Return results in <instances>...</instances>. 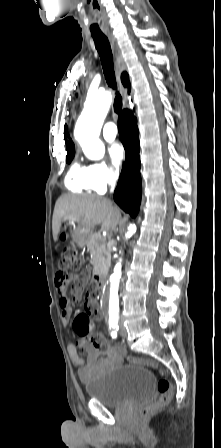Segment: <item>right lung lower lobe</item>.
<instances>
[{
  "instance_id": "right-lung-lower-lobe-1",
  "label": "right lung lower lobe",
  "mask_w": 221,
  "mask_h": 448,
  "mask_svg": "<svg viewBox=\"0 0 221 448\" xmlns=\"http://www.w3.org/2000/svg\"><path fill=\"white\" fill-rule=\"evenodd\" d=\"M118 130L125 148L126 161L114 192L115 202L132 217L138 214L141 202L140 145L136 118L123 110L118 118Z\"/></svg>"
}]
</instances>
